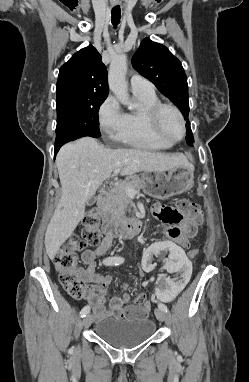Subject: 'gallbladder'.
Listing matches in <instances>:
<instances>
[{"instance_id": "1", "label": "gallbladder", "mask_w": 249, "mask_h": 382, "mask_svg": "<svg viewBox=\"0 0 249 382\" xmlns=\"http://www.w3.org/2000/svg\"><path fill=\"white\" fill-rule=\"evenodd\" d=\"M96 200H97L96 197L89 198L87 201V206H92L93 204H95Z\"/></svg>"}]
</instances>
